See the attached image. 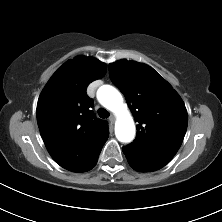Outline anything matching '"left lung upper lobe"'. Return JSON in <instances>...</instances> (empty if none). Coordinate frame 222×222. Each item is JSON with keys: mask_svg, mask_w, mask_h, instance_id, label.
<instances>
[{"mask_svg": "<svg viewBox=\"0 0 222 222\" xmlns=\"http://www.w3.org/2000/svg\"><path fill=\"white\" fill-rule=\"evenodd\" d=\"M109 74L138 122L136 139L122 148L128 162L145 171L164 167L177 153L186 133L184 102L148 65L120 60L109 64Z\"/></svg>", "mask_w": 222, "mask_h": 222, "instance_id": "1", "label": "left lung upper lobe"}]
</instances>
